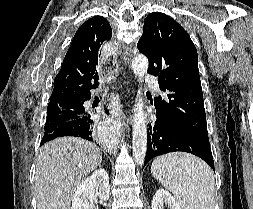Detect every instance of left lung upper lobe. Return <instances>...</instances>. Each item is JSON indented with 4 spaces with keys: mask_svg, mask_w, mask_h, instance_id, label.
Segmentation results:
<instances>
[{
    "mask_svg": "<svg viewBox=\"0 0 253 209\" xmlns=\"http://www.w3.org/2000/svg\"><path fill=\"white\" fill-rule=\"evenodd\" d=\"M137 48L149 60L148 73L158 77L167 95L154 98L156 117L209 143L198 55L188 33L169 16L153 12L145 19Z\"/></svg>",
    "mask_w": 253,
    "mask_h": 209,
    "instance_id": "5c2ea615",
    "label": "left lung upper lobe"
}]
</instances>
